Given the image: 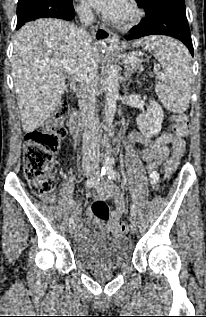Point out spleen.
<instances>
[{
  "label": "spleen",
  "mask_w": 206,
  "mask_h": 317,
  "mask_svg": "<svg viewBox=\"0 0 206 317\" xmlns=\"http://www.w3.org/2000/svg\"><path fill=\"white\" fill-rule=\"evenodd\" d=\"M134 47L142 46L160 62L164 69L162 82L155 91L163 105L172 112L181 113L189 107L192 65L186 47L177 40L151 36L136 40Z\"/></svg>",
  "instance_id": "obj_1"
}]
</instances>
